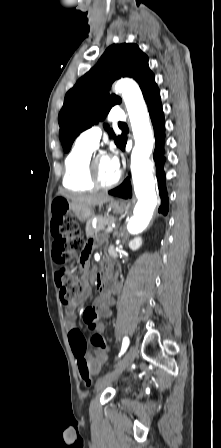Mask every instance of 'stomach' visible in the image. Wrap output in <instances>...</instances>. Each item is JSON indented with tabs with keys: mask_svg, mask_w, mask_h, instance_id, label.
<instances>
[{
	"mask_svg": "<svg viewBox=\"0 0 221 448\" xmlns=\"http://www.w3.org/2000/svg\"><path fill=\"white\" fill-rule=\"evenodd\" d=\"M68 205L69 210L73 211L75 216L81 221V222H89L91 215H92V209L91 208H81V209H75L71 205V203L66 202ZM110 208L113 210L114 213H123L127 210L128 205L124 201L114 200L111 199L110 201Z\"/></svg>",
	"mask_w": 221,
	"mask_h": 448,
	"instance_id": "0dacf381",
	"label": "stomach"
}]
</instances>
